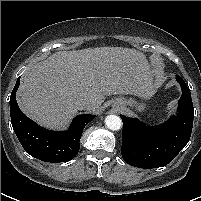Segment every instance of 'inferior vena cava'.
Instances as JSON below:
<instances>
[{"instance_id":"inferior-vena-cava-1","label":"inferior vena cava","mask_w":201,"mask_h":201,"mask_svg":"<svg viewBox=\"0 0 201 201\" xmlns=\"http://www.w3.org/2000/svg\"><path fill=\"white\" fill-rule=\"evenodd\" d=\"M95 107V103L90 100H81L77 102V108L80 110H92Z\"/></svg>"}]
</instances>
